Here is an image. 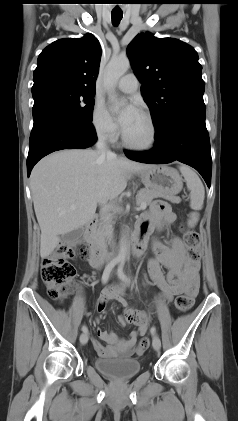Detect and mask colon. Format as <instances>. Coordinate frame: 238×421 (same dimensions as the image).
I'll list each match as a JSON object with an SVG mask.
<instances>
[{
    "instance_id": "colon-1",
    "label": "colon",
    "mask_w": 238,
    "mask_h": 421,
    "mask_svg": "<svg viewBox=\"0 0 238 421\" xmlns=\"http://www.w3.org/2000/svg\"><path fill=\"white\" fill-rule=\"evenodd\" d=\"M181 229L190 259L198 261L201 257L198 233L187 226H182ZM73 253L74 249L72 246L61 243L42 260V280L46 286L48 295L54 300H63L66 298L75 286L74 278L76 271L74 266L67 261V257ZM79 254L82 258H86L89 255V250L82 247L79 249ZM192 304L193 300L185 295L178 296L175 301L176 308L179 312L188 311L192 307ZM148 347V338H142L139 342V351L142 352Z\"/></svg>"
}]
</instances>
